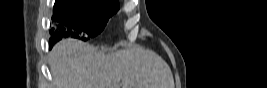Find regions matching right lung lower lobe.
Segmentation results:
<instances>
[{
	"mask_svg": "<svg viewBox=\"0 0 267 88\" xmlns=\"http://www.w3.org/2000/svg\"><path fill=\"white\" fill-rule=\"evenodd\" d=\"M53 30H56V31H58L60 33V38H57V41H59L63 37H66V36L69 35L68 29L65 26H58L57 29H53ZM57 41L51 42L50 48L53 46V43H55Z\"/></svg>",
	"mask_w": 267,
	"mask_h": 88,
	"instance_id": "1",
	"label": "right lung lower lobe"
}]
</instances>
